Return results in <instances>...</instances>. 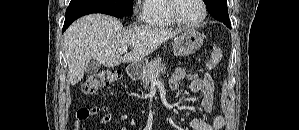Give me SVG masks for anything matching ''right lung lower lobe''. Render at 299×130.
<instances>
[{
  "mask_svg": "<svg viewBox=\"0 0 299 130\" xmlns=\"http://www.w3.org/2000/svg\"><path fill=\"white\" fill-rule=\"evenodd\" d=\"M91 13H104V14L115 16V17H124L125 16V15H122L119 13L109 12V11L100 10V9H96V8H88V7L69 8L68 7L66 10L65 22H64L62 32H64L70 26V24L77 18L87 15V14H91Z\"/></svg>",
  "mask_w": 299,
  "mask_h": 130,
  "instance_id": "98d812e1",
  "label": "right lung lower lobe"
}]
</instances>
